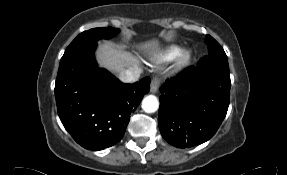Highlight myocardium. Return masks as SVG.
I'll use <instances>...</instances> for the list:
<instances>
[{
	"label": "myocardium",
	"mask_w": 287,
	"mask_h": 175,
	"mask_svg": "<svg viewBox=\"0 0 287 175\" xmlns=\"http://www.w3.org/2000/svg\"><path fill=\"white\" fill-rule=\"evenodd\" d=\"M194 56V51L191 48H187L184 50H181L178 56L176 57V68L181 69L192 61Z\"/></svg>",
	"instance_id": "f54148a6"
}]
</instances>
